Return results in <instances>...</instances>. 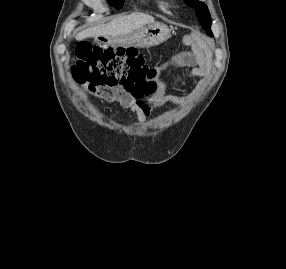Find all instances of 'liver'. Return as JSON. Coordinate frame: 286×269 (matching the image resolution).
<instances>
[{"label":"liver","instance_id":"1","mask_svg":"<svg viewBox=\"0 0 286 269\" xmlns=\"http://www.w3.org/2000/svg\"><path fill=\"white\" fill-rule=\"evenodd\" d=\"M154 22L155 20L151 15L136 12L130 15L119 16L107 24L84 29L75 36V39L81 41L88 37H118Z\"/></svg>","mask_w":286,"mask_h":269}]
</instances>
